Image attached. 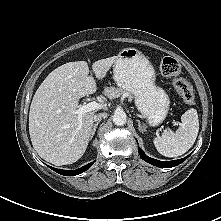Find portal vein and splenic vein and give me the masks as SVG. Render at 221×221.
Masks as SVG:
<instances>
[{
  "instance_id": "18ae733b",
  "label": "portal vein and splenic vein",
  "mask_w": 221,
  "mask_h": 221,
  "mask_svg": "<svg viewBox=\"0 0 221 221\" xmlns=\"http://www.w3.org/2000/svg\"><path fill=\"white\" fill-rule=\"evenodd\" d=\"M105 106V104L97 103L95 101L87 103L82 105L80 108H78L76 111H74V114H77L81 116L83 113L94 111V110H100ZM174 124L178 125L179 122H173Z\"/></svg>"
}]
</instances>
